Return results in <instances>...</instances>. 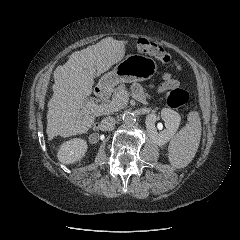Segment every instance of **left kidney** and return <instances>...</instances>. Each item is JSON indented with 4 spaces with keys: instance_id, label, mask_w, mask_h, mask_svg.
Segmentation results:
<instances>
[{
    "instance_id": "left-kidney-1",
    "label": "left kidney",
    "mask_w": 240,
    "mask_h": 240,
    "mask_svg": "<svg viewBox=\"0 0 240 240\" xmlns=\"http://www.w3.org/2000/svg\"><path fill=\"white\" fill-rule=\"evenodd\" d=\"M161 117L165 122L166 129L160 132L157 131L155 126V122L159 119L156 114H148L145 120L148 135L152 142L158 146L166 144L174 136L181 121L180 115L169 108H163L161 110Z\"/></svg>"
}]
</instances>
